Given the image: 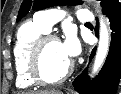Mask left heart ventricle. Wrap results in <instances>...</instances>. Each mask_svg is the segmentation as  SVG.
Here are the masks:
<instances>
[{
	"label": "left heart ventricle",
	"mask_w": 121,
	"mask_h": 94,
	"mask_svg": "<svg viewBox=\"0 0 121 94\" xmlns=\"http://www.w3.org/2000/svg\"><path fill=\"white\" fill-rule=\"evenodd\" d=\"M71 59L66 55L58 41L45 44L41 55V69L47 79L58 78L69 66Z\"/></svg>",
	"instance_id": "b2bd125f"
}]
</instances>
